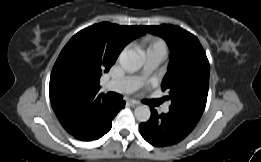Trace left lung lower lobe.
<instances>
[{
    "label": "left lung lower lobe",
    "instance_id": "0a47b994",
    "mask_svg": "<svg viewBox=\"0 0 261 162\" xmlns=\"http://www.w3.org/2000/svg\"><path fill=\"white\" fill-rule=\"evenodd\" d=\"M198 121L182 111L169 110L166 114L158 115L157 111L151 108L150 119L141 123L139 130L142 137L153 146L165 147L183 140Z\"/></svg>",
    "mask_w": 261,
    "mask_h": 162
}]
</instances>
